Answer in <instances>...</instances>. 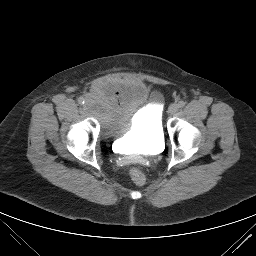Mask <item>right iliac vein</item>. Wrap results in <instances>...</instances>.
I'll list each match as a JSON object with an SVG mask.
<instances>
[{
	"label": "right iliac vein",
	"mask_w": 256,
	"mask_h": 256,
	"mask_svg": "<svg viewBox=\"0 0 256 256\" xmlns=\"http://www.w3.org/2000/svg\"><path fill=\"white\" fill-rule=\"evenodd\" d=\"M85 105H86L87 107H90V106L92 105V102H91L90 100H87V101L85 102Z\"/></svg>",
	"instance_id": "right-iliac-vein-1"
}]
</instances>
